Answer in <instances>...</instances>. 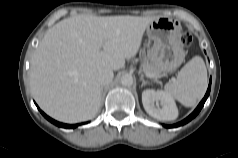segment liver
Wrapping results in <instances>:
<instances>
[{
    "instance_id": "liver-1",
    "label": "liver",
    "mask_w": 238,
    "mask_h": 158,
    "mask_svg": "<svg viewBox=\"0 0 238 158\" xmlns=\"http://www.w3.org/2000/svg\"><path fill=\"white\" fill-rule=\"evenodd\" d=\"M155 19L77 15L55 24L31 58L30 85L40 108L65 123L92 119L101 105L98 71L123 68Z\"/></svg>"
}]
</instances>
